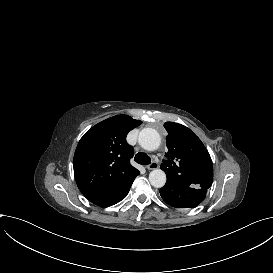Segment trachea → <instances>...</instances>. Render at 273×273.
<instances>
[{"label": "trachea", "instance_id": "trachea-1", "mask_svg": "<svg viewBox=\"0 0 273 273\" xmlns=\"http://www.w3.org/2000/svg\"><path fill=\"white\" fill-rule=\"evenodd\" d=\"M134 160L141 165H148L151 163V158L146 153H137Z\"/></svg>", "mask_w": 273, "mask_h": 273}]
</instances>
